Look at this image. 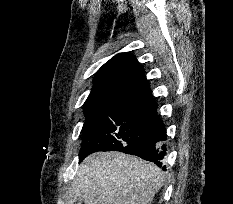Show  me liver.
I'll return each mask as SVG.
<instances>
[{
  "mask_svg": "<svg viewBox=\"0 0 233 204\" xmlns=\"http://www.w3.org/2000/svg\"><path fill=\"white\" fill-rule=\"evenodd\" d=\"M163 181L155 164L121 152L91 154L76 177L84 204H151Z\"/></svg>",
  "mask_w": 233,
  "mask_h": 204,
  "instance_id": "obj_1",
  "label": "liver"
}]
</instances>
